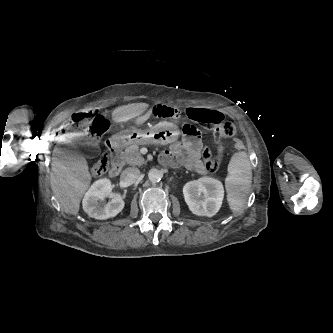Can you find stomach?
<instances>
[{
    "instance_id": "stomach-1",
    "label": "stomach",
    "mask_w": 333,
    "mask_h": 333,
    "mask_svg": "<svg viewBox=\"0 0 333 333\" xmlns=\"http://www.w3.org/2000/svg\"><path fill=\"white\" fill-rule=\"evenodd\" d=\"M178 126L171 122H160L147 129L129 128L114 134L110 142L116 147L130 144H170L178 139Z\"/></svg>"
}]
</instances>
